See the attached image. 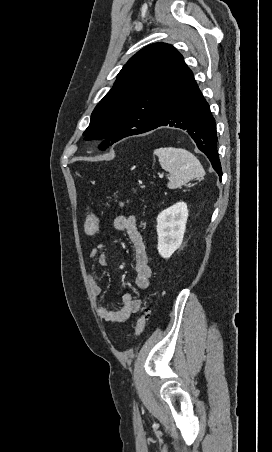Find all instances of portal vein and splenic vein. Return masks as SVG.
Masks as SVG:
<instances>
[{
  "label": "portal vein and splenic vein",
  "instance_id": "portal-vein-and-splenic-vein-1",
  "mask_svg": "<svg viewBox=\"0 0 272 452\" xmlns=\"http://www.w3.org/2000/svg\"><path fill=\"white\" fill-rule=\"evenodd\" d=\"M159 177L162 178V177H163V174H160Z\"/></svg>",
  "mask_w": 272,
  "mask_h": 452
}]
</instances>
